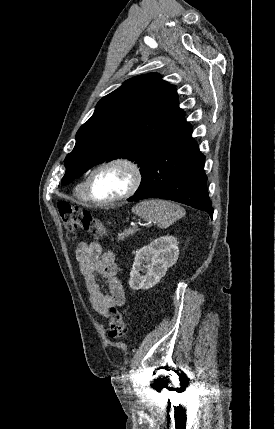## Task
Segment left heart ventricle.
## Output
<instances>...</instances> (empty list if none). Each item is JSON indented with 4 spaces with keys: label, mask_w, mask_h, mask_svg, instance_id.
I'll return each instance as SVG.
<instances>
[{
    "label": "left heart ventricle",
    "mask_w": 275,
    "mask_h": 429,
    "mask_svg": "<svg viewBox=\"0 0 275 429\" xmlns=\"http://www.w3.org/2000/svg\"><path fill=\"white\" fill-rule=\"evenodd\" d=\"M130 175L121 166L104 168L92 180L91 192L98 200H107L122 194L128 187Z\"/></svg>",
    "instance_id": "b2bd125f"
}]
</instances>
